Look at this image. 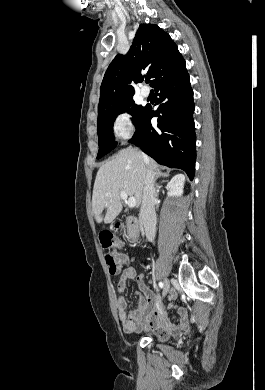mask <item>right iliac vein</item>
Masks as SVG:
<instances>
[{
    "label": "right iliac vein",
    "mask_w": 265,
    "mask_h": 390,
    "mask_svg": "<svg viewBox=\"0 0 265 390\" xmlns=\"http://www.w3.org/2000/svg\"><path fill=\"white\" fill-rule=\"evenodd\" d=\"M169 289H170V282L168 279H165L164 280V288H163V296H165L169 292Z\"/></svg>",
    "instance_id": "obj_1"
}]
</instances>
